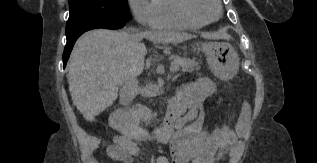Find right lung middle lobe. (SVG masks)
I'll list each match as a JSON object with an SVG mask.
<instances>
[{
	"label": "right lung middle lobe",
	"instance_id": "dd1d6c3e",
	"mask_svg": "<svg viewBox=\"0 0 317 163\" xmlns=\"http://www.w3.org/2000/svg\"><path fill=\"white\" fill-rule=\"evenodd\" d=\"M66 36L100 21H129L127 0H69Z\"/></svg>",
	"mask_w": 317,
	"mask_h": 163
}]
</instances>
